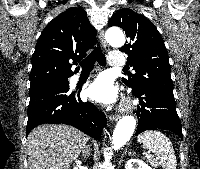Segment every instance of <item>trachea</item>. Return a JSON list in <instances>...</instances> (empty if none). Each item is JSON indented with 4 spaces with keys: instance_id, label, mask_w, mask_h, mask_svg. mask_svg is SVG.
<instances>
[{
    "instance_id": "1",
    "label": "trachea",
    "mask_w": 200,
    "mask_h": 169,
    "mask_svg": "<svg viewBox=\"0 0 200 169\" xmlns=\"http://www.w3.org/2000/svg\"><path fill=\"white\" fill-rule=\"evenodd\" d=\"M98 62L101 66L106 65V58L101 51L100 47H95L93 51L82 61L80 66L83 71H91L94 68L95 62Z\"/></svg>"
}]
</instances>
